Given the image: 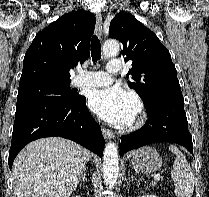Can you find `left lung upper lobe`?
I'll return each mask as SVG.
<instances>
[{
	"instance_id": "obj_1",
	"label": "left lung upper lobe",
	"mask_w": 209,
	"mask_h": 197,
	"mask_svg": "<svg viewBox=\"0 0 209 197\" xmlns=\"http://www.w3.org/2000/svg\"><path fill=\"white\" fill-rule=\"evenodd\" d=\"M109 37L122 43L125 62L132 61L128 85L145 106L159 98H183L171 55L154 32L132 14L120 12L110 23Z\"/></svg>"
}]
</instances>
